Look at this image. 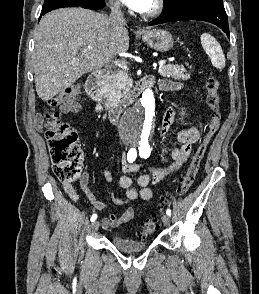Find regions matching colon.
<instances>
[{"instance_id":"colon-1","label":"colon","mask_w":259,"mask_h":294,"mask_svg":"<svg viewBox=\"0 0 259 294\" xmlns=\"http://www.w3.org/2000/svg\"><path fill=\"white\" fill-rule=\"evenodd\" d=\"M219 81L211 75L206 82V102L210 109V118L202 140L194 153L190 166L180 178L175 188L179 196L186 194L191 188L198 173L201 161L209 143L217 132L220 122V98L218 95ZM80 92L78 85L70 86L61 91L49 102L46 116V139L53 160V171L59 181L71 183L80 175L83 153L78 144V135L67 123L61 120L58 107L74 101ZM169 196L162 198L161 208L167 205ZM159 229V219L153 214L139 228L140 236L146 237Z\"/></svg>"}]
</instances>
